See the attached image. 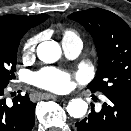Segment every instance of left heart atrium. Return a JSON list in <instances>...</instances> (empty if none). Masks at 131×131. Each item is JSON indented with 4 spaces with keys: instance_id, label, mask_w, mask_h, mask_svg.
Segmentation results:
<instances>
[{
    "instance_id": "left-heart-atrium-1",
    "label": "left heart atrium",
    "mask_w": 131,
    "mask_h": 131,
    "mask_svg": "<svg viewBox=\"0 0 131 131\" xmlns=\"http://www.w3.org/2000/svg\"><path fill=\"white\" fill-rule=\"evenodd\" d=\"M34 85L52 92L63 93L71 87V75L56 68H43L32 75Z\"/></svg>"
}]
</instances>
